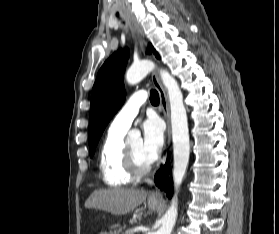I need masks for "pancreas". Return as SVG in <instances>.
I'll return each mask as SVG.
<instances>
[{
	"instance_id": "1",
	"label": "pancreas",
	"mask_w": 279,
	"mask_h": 234,
	"mask_svg": "<svg viewBox=\"0 0 279 234\" xmlns=\"http://www.w3.org/2000/svg\"><path fill=\"white\" fill-rule=\"evenodd\" d=\"M125 234H133L131 231H127Z\"/></svg>"
}]
</instances>
